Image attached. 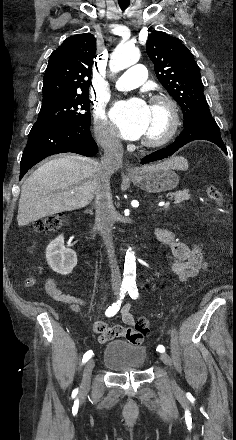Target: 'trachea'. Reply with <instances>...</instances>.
<instances>
[{"label": "trachea", "mask_w": 236, "mask_h": 440, "mask_svg": "<svg viewBox=\"0 0 236 440\" xmlns=\"http://www.w3.org/2000/svg\"><path fill=\"white\" fill-rule=\"evenodd\" d=\"M119 6H120V8L124 11L125 9L128 8L129 3H121V2H119Z\"/></svg>", "instance_id": "trachea-1"}]
</instances>
